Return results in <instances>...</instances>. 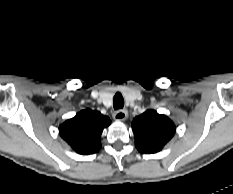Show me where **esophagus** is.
<instances>
[{
	"instance_id": "obj_1",
	"label": "esophagus",
	"mask_w": 233,
	"mask_h": 194,
	"mask_svg": "<svg viewBox=\"0 0 233 194\" xmlns=\"http://www.w3.org/2000/svg\"><path fill=\"white\" fill-rule=\"evenodd\" d=\"M127 116L128 112L126 110H118L113 114L114 119L118 121L126 120Z\"/></svg>"
}]
</instances>
